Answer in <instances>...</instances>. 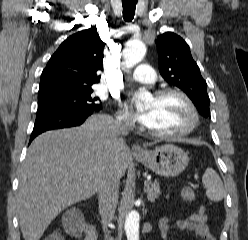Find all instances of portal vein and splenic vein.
Masks as SVG:
<instances>
[{"mask_svg":"<svg viewBox=\"0 0 248 240\" xmlns=\"http://www.w3.org/2000/svg\"><path fill=\"white\" fill-rule=\"evenodd\" d=\"M149 183V181H145V185H147Z\"/></svg>","mask_w":248,"mask_h":240,"instance_id":"portal-vein-and-splenic-vein-1","label":"portal vein and splenic vein"}]
</instances>
